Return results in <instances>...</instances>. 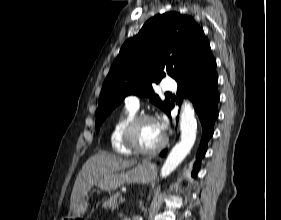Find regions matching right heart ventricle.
I'll return each instance as SVG.
<instances>
[{
	"label": "right heart ventricle",
	"instance_id": "obj_1",
	"mask_svg": "<svg viewBox=\"0 0 281 220\" xmlns=\"http://www.w3.org/2000/svg\"><path fill=\"white\" fill-rule=\"evenodd\" d=\"M135 115L136 110L126 106L125 109L115 119L109 135L110 146L114 153L123 156H129L132 154V152L124 146L121 134L125 124Z\"/></svg>",
	"mask_w": 281,
	"mask_h": 220
}]
</instances>
